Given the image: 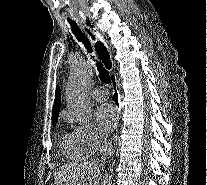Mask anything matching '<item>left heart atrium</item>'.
I'll use <instances>...</instances> for the list:
<instances>
[{
  "mask_svg": "<svg viewBox=\"0 0 207 185\" xmlns=\"http://www.w3.org/2000/svg\"><path fill=\"white\" fill-rule=\"evenodd\" d=\"M95 118L98 127L107 133L113 130L117 124L118 112L114 106L103 104L96 110Z\"/></svg>",
  "mask_w": 207,
  "mask_h": 185,
  "instance_id": "1",
  "label": "left heart atrium"
}]
</instances>
